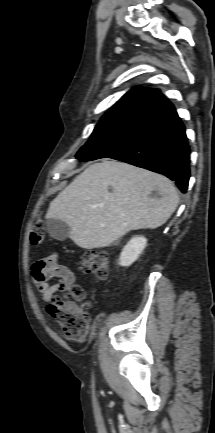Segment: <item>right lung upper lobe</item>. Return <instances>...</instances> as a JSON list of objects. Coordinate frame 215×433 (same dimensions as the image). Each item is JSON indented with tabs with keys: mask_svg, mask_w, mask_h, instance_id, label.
Listing matches in <instances>:
<instances>
[{
	"mask_svg": "<svg viewBox=\"0 0 215 433\" xmlns=\"http://www.w3.org/2000/svg\"><path fill=\"white\" fill-rule=\"evenodd\" d=\"M171 104L159 90L132 88L101 119H117L124 117H140L149 119Z\"/></svg>",
	"mask_w": 215,
	"mask_h": 433,
	"instance_id": "right-lung-upper-lobe-1",
	"label": "right lung upper lobe"
}]
</instances>
